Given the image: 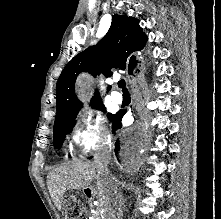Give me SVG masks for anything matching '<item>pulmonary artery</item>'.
I'll return each instance as SVG.
<instances>
[{"mask_svg":"<svg viewBox=\"0 0 221 219\" xmlns=\"http://www.w3.org/2000/svg\"><path fill=\"white\" fill-rule=\"evenodd\" d=\"M110 99L112 100V102H114L115 104H121L123 101V96L121 93L114 91L111 93L110 95Z\"/></svg>","mask_w":221,"mask_h":219,"instance_id":"pulmonary-artery-1","label":"pulmonary artery"}]
</instances>
